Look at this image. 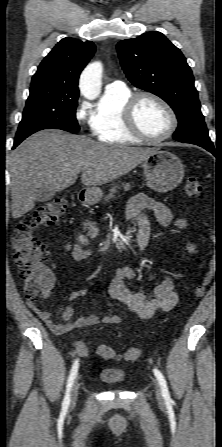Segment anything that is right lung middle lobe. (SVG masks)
<instances>
[{"mask_svg": "<svg viewBox=\"0 0 222 447\" xmlns=\"http://www.w3.org/2000/svg\"><path fill=\"white\" fill-rule=\"evenodd\" d=\"M77 100L78 95L56 92L50 86L30 88L14 143L19 144L29 135L42 129L78 131L75 116Z\"/></svg>", "mask_w": 222, "mask_h": 447, "instance_id": "right-lung-middle-lobe-1", "label": "right lung middle lobe"}]
</instances>
